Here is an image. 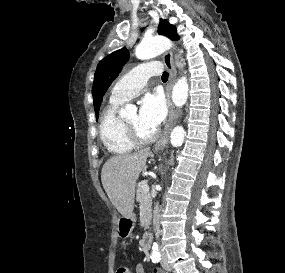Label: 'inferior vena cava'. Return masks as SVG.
Returning a JSON list of instances; mask_svg holds the SVG:
<instances>
[{"label": "inferior vena cava", "instance_id": "1", "mask_svg": "<svg viewBox=\"0 0 285 273\" xmlns=\"http://www.w3.org/2000/svg\"><path fill=\"white\" fill-rule=\"evenodd\" d=\"M153 213H154L153 214V227H154L156 239L159 240V235L161 231H160V209H159L158 203L156 204ZM159 250H161V247H159Z\"/></svg>", "mask_w": 285, "mask_h": 273}]
</instances>
